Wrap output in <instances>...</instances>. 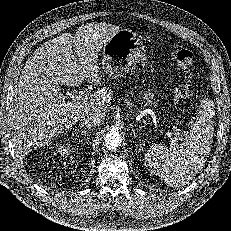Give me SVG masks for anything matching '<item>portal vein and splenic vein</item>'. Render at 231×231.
Masks as SVG:
<instances>
[{
    "instance_id": "obj_1",
    "label": "portal vein and splenic vein",
    "mask_w": 231,
    "mask_h": 231,
    "mask_svg": "<svg viewBox=\"0 0 231 231\" xmlns=\"http://www.w3.org/2000/svg\"><path fill=\"white\" fill-rule=\"evenodd\" d=\"M84 94H85V91H79L78 93L73 94L72 100L73 101H85V100H87V98L84 97ZM173 135H175L174 132H167V136L172 137V144L175 145L176 139Z\"/></svg>"
}]
</instances>
